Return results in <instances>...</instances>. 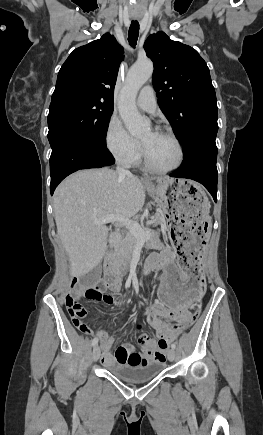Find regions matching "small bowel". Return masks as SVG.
<instances>
[{"mask_svg": "<svg viewBox=\"0 0 263 435\" xmlns=\"http://www.w3.org/2000/svg\"><path fill=\"white\" fill-rule=\"evenodd\" d=\"M164 258H175L174 253L170 249H164L160 253L152 254L146 261L144 266V273L160 268V261ZM75 295L78 297L81 295L80 291H75ZM113 300L106 304H111ZM145 322L155 331L156 339H162V341H156L150 338L148 335L143 334L139 337V344L142 349V353L137 352L130 343H125L118 347L114 354L111 352L113 344L121 339L124 335L110 337L104 329H100L97 332V336L100 339L102 348L101 361L106 366L113 364L122 365H142L154 360L163 361L165 355H167L172 348V341L181 332V328L172 329L171 324L165 319H172L174 321L187 322L191 315L186 310L171 309L169 305L153 304L149 306L144 313ZM165 318V319H163ZM135 330L142 328L141 324L136 323Z\"/></svg>", "mask_w": 263, "mask_h": 435, "instance_id": "obj_1", "label": "small bowel"}]
</instances>
